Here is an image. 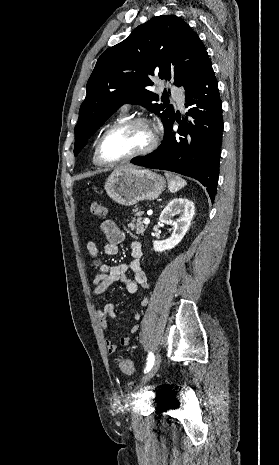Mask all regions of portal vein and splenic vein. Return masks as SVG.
<instances>
[{
  "mask_svg": "<svg viewBox=\"0 0 279 465\" xmlns=\"http://www.w3.org/2000/svg\"><path fill=\"white\" fill-rule=\"evenodd\" d=\"M143 222H144V224L148 225L150 223V220H149V218H145Z\"/></svg>",
  "mask_w": 279,
  "mask_h": 465,
  "instance_id": "portal-vein-and-splenic-vein-1",
  "label": "portal vein and splenic vein"
}]
</instances>
